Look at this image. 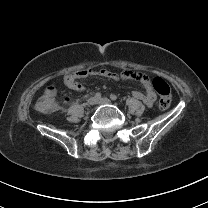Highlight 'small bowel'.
I'll list each match as a JSON object with an SVG mask.
<instances>
[{
    "label": "small bowel",
    "mask_w": 208,
    "mask_h": 208,
    "mask_svg": "<svg viewBox=\"0 0 208 208\" xmlns=\"http://www.w3.org/2000/svg\"><path fill=\"white\" fill-rule=\"evenodd\" d=\"M98 74L104 78L131 79L133 81L140 83L144 87L145 91L141 92V91L136 90L133 92V96L136 99L143 101L147 106L153 105L155 101V93L153 92L150 82L146 76L139 74V73H130V72L118 73V72L111 71V70H101L98 72ZM87 76H88V71L86 70H81V71L71 73L65 77V80H64L65 85L71 90L82 92L84 87L78 80L85 78Z\"/></svg>",
    "instance_id": "1"
}]
</instances>
